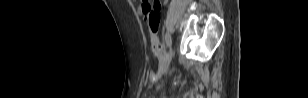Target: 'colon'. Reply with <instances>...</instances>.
<instances>
[{"label":"colon","instance_id":"1","mask_svg":"<svg viewBox=\"0 0 308 98\" xmlns=\"http://www.w3.org/2000/svg\"><path fill=\"white\" fill-rule=\"evenodd\" d=\"M160 10L161 2L158 0L155 1H146L143 6L141 14L144 16L143 20L148 22V31L150 33V42L153 53L158 57H162L163 46L160 43L157 31L160 30L159 20H160Z\"/></svg>","mask_w":308,"mask_h":98}]
</instances>
